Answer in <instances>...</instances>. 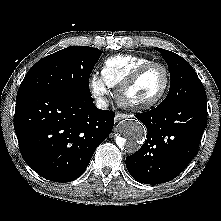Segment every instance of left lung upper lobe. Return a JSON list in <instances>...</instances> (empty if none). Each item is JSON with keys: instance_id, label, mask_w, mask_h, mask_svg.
<instances>
[{"instance_id": "obj_1", "label": "left lung upper lobe", "mask_w": 221, "mask_h": 221, "mask_svg": "<svg viewBox=\"0 0 221 221\" xmlns=\"http://www.w3.org/2000/svg\"><path fill=\"white\" fill-rule=\"evenodd\" d=\"M165 59L171 85L163 105H176L191 99H206V92L192 66L181 56L171 51L155 48Z\"/></svg>"}]
</instances>
